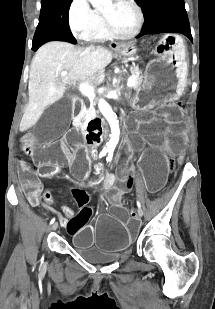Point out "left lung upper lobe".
<instances>
[{
	"label": "left lung upper lobe",
	"instance_id": "left-lung-upper-lobe-1",
	"mask_svg": "<svg viewBox=\"0 0 215 309\" xmlns=\"http://www.w3.org/2000/svg\"><path fill=\"white\" fill-rule=\"evenodd\" d=\"M145 17L138 37L154 32H177L192 40L184 0H136Z\"/></svg>",
	"mask_w": 215,
	"mask_h": 309
}]
</instances>
